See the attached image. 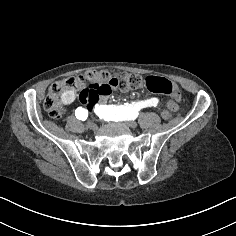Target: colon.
I'll return each mask as SVG.
<instances>
[{"instance_id": "1", "label": "colon", "mask_w": 236, "mask_h": 236, "mask_svg": "<svg viewBox=\"0 0 236 236\" xmlns=\"http://www.w3.org/2000/svg\"><path fill=\"white\" fill-rule=\"evenodd\" d=\"M142 83V77L135 73L111 75L106 71H86L77 77L53 83L49 88L43 106L52 118H60L63 109L59 105L58 99L67 89H79L80 101L91 107L101 98L108 96L112 89L119 88L126 90L137 88ZM145 84L149 91L156 94L168 95L173 102H176L179 98L178 88L165 78L149 76ZM161 115L165 120L173 117L170 110H164Z\"/></svg>"}]
</instances>
